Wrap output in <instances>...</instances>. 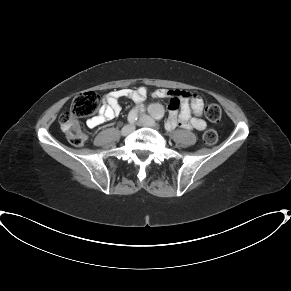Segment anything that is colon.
<instances>
[{
  "label": "colon",
  "instance_id": "colon-1",
  "mask_svg": "<svg viewBox=\"0 0 291 291\" xmlns=\"http://www.w3.org/2000/svg\"><path fill=\"white\" fill-rule=\"evenodd\" d=\"M98 106V95L93 91H85L73 99L69 111L61 114L59 118L60 128L72 145L82 146L86 142L88 134L80 126L78 119L94 114ZM204 112L212 122H218L221 118V109L215 103H208ZM217 138L218 135L214 129H208L203 134V142L207 145L214 144Z\"/></svg>",
  "mask_w": 291,
  "mask_h": 291
}]
</instances>
